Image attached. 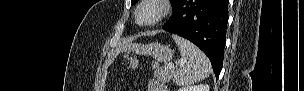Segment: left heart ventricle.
<instances>
[{"label": "left heart ventricle", "instance_id": "left-heart-ventricle-1", "mask_svg": "<svg viewBox=\"0 0 304 91\" xmlns=\"http://www.w3.org/2000/svg\"><path fill=\"white\" fill-rule=\"evenodd\" d=\"M158 14V7L155 5H144L138 14V18L141 22H147L153 19Z\"/></svg>", "mask_w": 304, "mask_h": 91}]
</instances>
